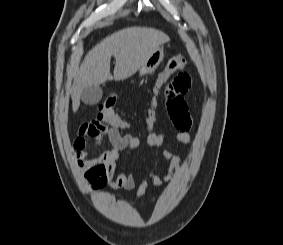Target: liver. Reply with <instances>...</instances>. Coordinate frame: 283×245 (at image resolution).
<instances>
[{"mask_svg": "<svg viewBox=\"0 0 283 245\" xmlns=\"http://www.w3.org/2000/svg\"><path fill=\"white\" fill-rule=\"evenodd\" d=\"M168 41L169 37L162 31L146 27L122 29L103 39L87 53L74 75L71 89L73 111L78 110L85 87L97 86L113 78L115 81L127 79ZM111 56L116 60L114 76L110 73Z\"/></svg>", "mask_w": 283, "mask_h": 245, "instance_id": "liver-1", "label": "liver"}]
</instances>
